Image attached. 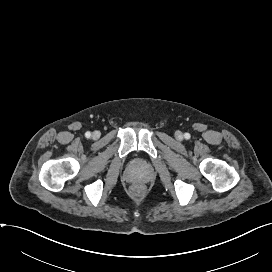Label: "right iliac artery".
I'll return each instance as SVG.
<instances>
[{"mask_svg":"<svg viewBox=\"0 0 272 272\" xmlns=\"http://www.w3.org/2000/svg\"><path fill=\"white\" fill-rule=\"evenodd\" d=\"M85 136H86L87 138H89V137L91 136V133H90V132H86V133H85Z\"/></svg>","mask_w":272,"mask_h":272,"instance_id":"82829eb1","label":"right iliac artery"}]
</instances>
